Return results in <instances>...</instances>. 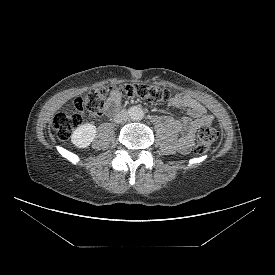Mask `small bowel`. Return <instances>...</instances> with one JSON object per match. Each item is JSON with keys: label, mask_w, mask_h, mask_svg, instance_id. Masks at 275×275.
<instances>
[{"label": "small bowel", "mask_w": 275, "mask_h": 275, "mask_svg": "<svg viewBox=\"0 0 275 275\" xmlns=\"http://www.w3.org/2000/svg\"><path fill=\"white\" fill-rule=\"evenodd\" d=\"M168 105L187 108L186 116L179 119L167 118L166 122L179 135V150L182 153H188L201 123H211L213 117L207 113V109L202 104L185 95H176L171 98ZM120 106L121 97L117 94H112L105 104V114L113 115L119 110Z\"/></svg>", "instance_id": "obj_1"}]
</instances>
